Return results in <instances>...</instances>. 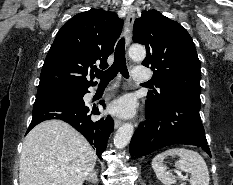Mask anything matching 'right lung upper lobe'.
<instances>
[{
	"mask_svg": "<svg viewBox=\"0 0 233 185\" xmlns=\"http://www.w3.org/2000/svg\"><path fill=\"white\" fill-rule=\"evenodd\" d=\"M122 27L123 20L117 14L100 9L79 13L67 21L47 54L38 91L86 89L93 85L96 64L108 66L107 58L113 53Z\"/></svg>",
	"mask_w": 233,
	"mask_h": 185,
	"instance_id": "1",
	"label": "right lung upper lobe"
}]
</instances>
